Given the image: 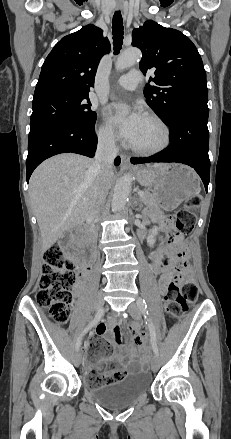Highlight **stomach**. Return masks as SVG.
<instances>
[{
  "label": "stomach",
  "mask_w": 231,
  "mask_h": 439,
  "mask_svg": "<svg viewBox=\"0 0 231 439\" xmlns=\"http://www.w3.org/2000/svg\"><path fill=\"white\" fill-rule=\"evenodd\" d=\"M136 177L140 185L152 191L157 198L158 208L164 211L176 209L200 191L198 175L185 165L138 167Z\"/></svg>",
  "instance_id": "1"
}]
</instances>
